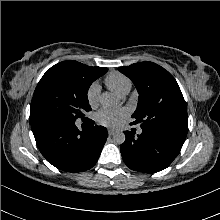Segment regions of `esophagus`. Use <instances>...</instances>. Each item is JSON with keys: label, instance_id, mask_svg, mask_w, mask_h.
Masks as SVG:
<instances>
[{"label": "esophagus", "instance_id": "esophagus-1", "mask_svg": "<svg viewBox=\"0 0 220 220\" xmlns=\"http://www.w3.org/2000/svg\"><path fill=\"white\" fill-rule=\"evenodd\" d=\"M116 131L114 129H108V134L113 135Z\"/></svg>", "mask_w": 220, "mask_h": 220}]
</instances>
